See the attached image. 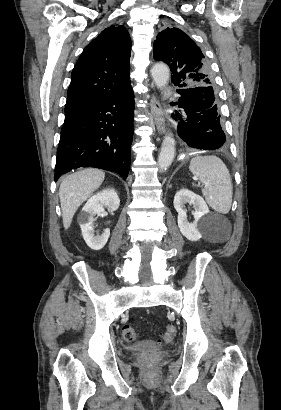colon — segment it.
Returning <instances> with one entry per match:
<instances>
[{
	"label": "colon",
	"instance_id": "1",
	"mask_svg": "<svg viewBox=\"0 0 281 410\" xmlns=\"http://www.w3.org/2000/svg\"><path fill=\"white\" fill-rule=\"evenodd\" d=\"M175 334L176 328L173 325H167L161 340L165 343H169L173 340ZM122 336L127 342H135L138 339V331L131 325H125L122 330Z\"/></svg>",
	"mask_w": 281,
	"mask_h": 410
}]
</instances>
